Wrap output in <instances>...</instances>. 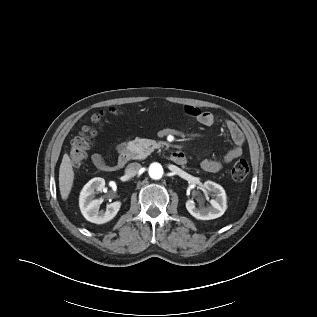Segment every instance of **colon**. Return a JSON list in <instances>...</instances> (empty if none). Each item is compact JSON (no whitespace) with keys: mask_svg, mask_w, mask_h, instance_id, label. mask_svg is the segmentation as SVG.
I'll use <instances>...</instances> for the list:
<instances>
[{"mask_svg":"<svg viewBox=\"0 0 317 317\" xmlns=\"http://www.w3.org/2000/svg\"><path fill=\"white\" fill-rule=\"evenodd\" d=\"M112 113L117 114V110L112 109ZM105 113L94 114L91 118V125L83 128L82 132L73 138L70 144V161L73 166H80L86 158L87 149L97 129L104 123ZM249 174V165L246 160L241 159L235 162L231 168V177L234 181H242Z\"/></svg>","mask_w":317,"mask_h":317,"instance_id":"colon-1","label":"colon"}]
</instances>
